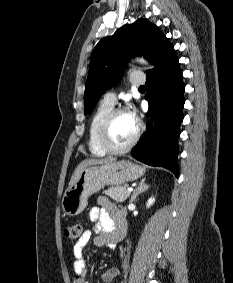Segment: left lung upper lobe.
<instances>
[{
  "instance_id": "1",
  "label": "left lung upper lobe",
  "mask_w": 233,
  "mask_h": 283,
  "mask_svg": "<svg viewBox=\"0 0 233 283\" xmlns=\"http://www.w3.org/2000/svg\"><path fill=\"white\" fill-rule=\"evenodd\" d=\"M172 46L158 27L145 19L124 25L112 36L101 39L90 59L85 114H90L100 96L117 84L128 58L143 55L156 66Z\"/></svg>"
}]
</instances>
